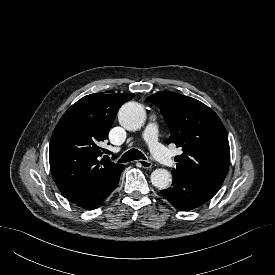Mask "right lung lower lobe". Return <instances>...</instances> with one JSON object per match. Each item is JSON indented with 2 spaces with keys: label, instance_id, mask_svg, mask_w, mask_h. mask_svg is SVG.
Segmentation results:
<instances>
[{
  "label": "right lung lower lobe",
  "instance_id": "1",
  "mask_svg": "<svg viewBox=\"0 0 275 275\" xmlns=\"http://www.w3.org/2000/svg\"><path fill=\"white\" fill-rule=\"evenodd\" d=\"M124 165L107 180L89 188L65 194L66 198L84 209H96L116 189Z\"/></svg>",
  "mask_w": 275,
  "mask_h": 275
}]
</instances>
